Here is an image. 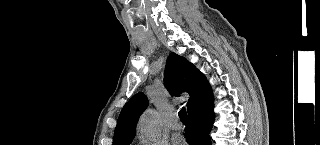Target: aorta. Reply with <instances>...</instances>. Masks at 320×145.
<instances>
[{
	"instance_id": "1",
	"label": "aorta",
	"mask_w": 320,
	"mask_h": 145,
	"mask_svg": "<svg viewBox=\"0 0 320 145\" xmlns=\"http://www.w3.org/2000/svg\"><path fill=\"white\" fill-rule=\"evenodd\" d=\"M141 132L150 137L156 138L160 134L159 116L155 109H148L139 122Z\"/></svg>"
}]
</instances>
